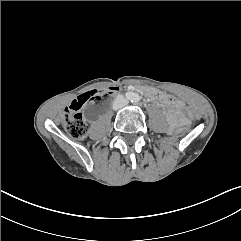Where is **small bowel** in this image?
<instances>
[{"label":"small bowel","instance_id":"1","mask_svg":"<svg viewBox=\"0 0 241 241\" xmlns=\"http://www.w3.org/2000/svg\"><path fill=\"white\" fill-rule=\"evenodd\" d=\"M115 92H117L116 89L111 91V93ZM152 95L159 98L164 104L170 107L167 118L172 126L187 125L188 122L184 117L185 104L183 101L157 92L152 93Z\"/></svg>","mask_w":241,"mask_h":241}]
</instances>
